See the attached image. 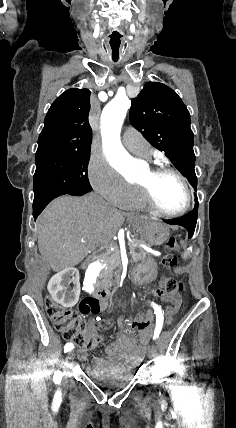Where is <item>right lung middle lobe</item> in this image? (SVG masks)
<instances>
[{
    "mask_svg": "<svg viewBox=\"0 0 236 428\" xmlns=\"http://www.w3.org/2000/svg\"><path fill=\"white\" fill-rule=\"evenodd\" d=\"M90 152H36L34 200L69 191H91Z\"/></svg>",
    "mask_w": 236,
    "mask_h": 428,
    "instance_id": "obj_1",
    "label": "right lung middle lobe"
}]
</instances>
